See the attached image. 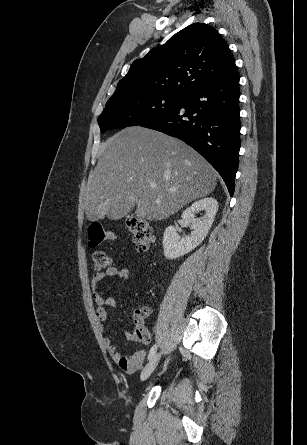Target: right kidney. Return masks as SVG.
I'll return each mask as SVG.
<instances>
[{"mask_svg":"<svg viewBox=\"0 0 307 445\" xmlns=\"http://www.w3.org/2000/svg\"><path fill=\"white\" fill-rule=\"evenodd\" d=\"M205 210L204 218H194V212ZM218 210L216 198H201L193 202L182 214L185 223H191L193 229L191 235L185 239H179L175 227H167L163 237L164 255L166 259H178L196 249L204 241Z\"/></svg>","mask_w":307,"mask_h":445,"instance_id":"1","label":"right kidney"}]
</instances>
